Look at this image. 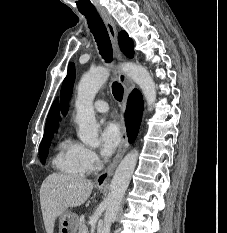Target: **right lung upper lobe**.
I'll use <instances>...</instances> for the list:
<instances>
[{"label":"right lung upper lobe","instance_id":"right-lung-upper-lobe-1","mask_svg":"<svg viewBox=\"0 0 227 233\" xmlns=\"http://www.w3.org/2000/svg\"><path fill=\"white\" fill-rule=\"evenodd\" d=\"M57 120H58V100L56 99L54 103L52 104L51 109L49 111L47 121H46L44 136H43L41 144L44 142L51 141Z\"/></svg>","mask_w":227,"mask_h":233}]
</instances>
